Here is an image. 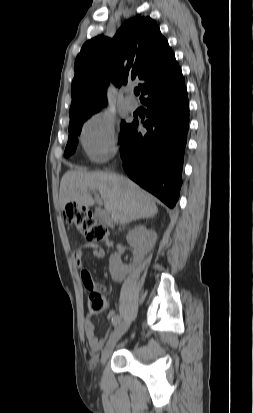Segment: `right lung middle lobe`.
I'll list each match as a JSON object with an SVG mask.
<instances>
[{
    "mask_svg": "<svg viewBox=\"0 0 253 413\" xmlns=\"http://www.w3.org/2000/svg\"><path fill=\"white\" fill-rule=\"evenodd\" d=\"M97 111L90 112L88 114H85L83 116H80L76 119L70 120L69 123V138H68V143L64 152V156L68 157L72 155L75 152L76 146L78 144V135L81 132L82 124L84 121L90 117L93 113ZM129 124H126L125 122L121 123V133H120V141L124 137L125 132L129 128Z\"/></svg>",
    "mask_w": 253,
    "mask_h": 413,
    "instance_id": "dd1d6c3e",
    "label": "right lung middle lobe"
}]
</instances>
